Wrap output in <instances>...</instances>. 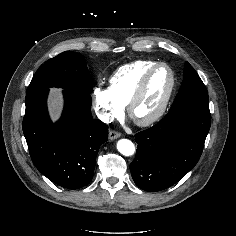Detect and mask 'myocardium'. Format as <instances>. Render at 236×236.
Wrapping results in <instances>:
<instances>
[{
    "label": "myocardium",
    "instance_id": "obj_1",
    "mask_svg": "<svg viewBox=\"0 0 236 236\" xmlns=\"http://www.w3.org/2000/svg\"><path fill=\"white\" fill-rule=\"evenodd\" d=\"M166 68L169 71L170 74V83L167 89V92L163 98V101L161 102L160 106L158 107V109L148 118L146 119H135L133 117V110L134 107L136 106V104L139 102V100L142 98L146 87L148 85V82L151 78V76L153 75V73L159 69V68ZM175 84H176V77H175V73L173 71V69L166 63L163 62H159L156 63L155 65H153L152 67H150L145 74L142 76L140 82L138 83L136 89L134 90L133 94L131 95L130 99L128 100L127 104H126V110H127V114L128 116L138 125L141 127H148L153 125L154 123H156L165 113L169 102L171 100L174 88H175Z\"/></svg>",
    "mask_w": 236,
    "mask_h": 236
}]
</instances>
